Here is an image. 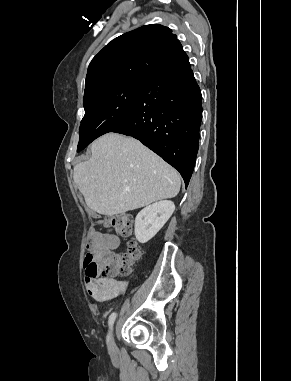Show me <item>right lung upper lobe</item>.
Masks as SVG:
<instances>
[{"instance_id": "right-lung-upper-lobe-1", "label": "right lung upper lobe", "mask_w": 291, "mask_h": 381, "mask_svg": "<svg viewBox=\"0 0 291 381\" xmlns=\"http://www.w3.org/2000/svg\"><path fill=\"white\" fill-rule=\"evenodd\" d=\"M183 52L177 36L163 25H145L125 33L112 40L92 59L83 100L118 84L145 81Z\"/></svg>"}]
</instances>
